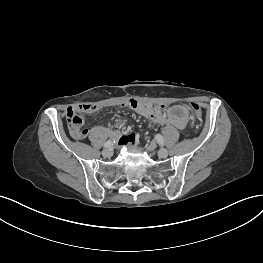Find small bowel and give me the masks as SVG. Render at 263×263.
Wrapping results in <instances>:
<instances>
[{
  "instance_id": "1",
  "label": "small bowel",
  "mask_w": 263,
  "mask_h": 263,
  "mask_svg": "<svg viewBox=\"0 0 263 263\" xmlns=\"http://www.w3.org/2000/svg\"><path fill=\"white\" fill-rule=\"evenodd\" d=\"M123 107H128L132 109L137 114L152 120L153 122L157 123H165L171 124L176 126L179 129H184L187 126L188 118L184 121H179L177 119H170L168 118L165 113L164 109L161 107H154L150 104L143 103L134 99H131L127 103L122 105ZM163 107V106H162ZM99 107L95 104H85L79 106L76 110L82 111L84 113H93L96 112ZM112 135L117 138L122 144H136L137 143V136L135 134L129 135H120V133L112 131Z\"/></svg>"
}]
</instances>
